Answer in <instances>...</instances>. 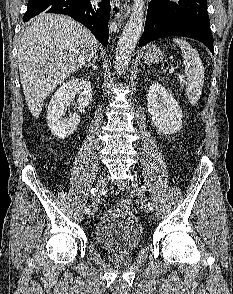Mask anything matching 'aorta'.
I'll use <instances>...</instances> for the list:
<instances>
[{
	"instance_id": "1",
	"label": "aorta",
	"mask_w": 233,
	"mask_h": 294,
	"mask_svg": "<svg viewBox=\"0 0 233 294\" xmlns=\"http://www.w3.org/2000/svg\"><path fill=\"white\" fill-rule=\"evenodd\" d=\"M132 12L118 41L115 69L118 75L125 73L144 27V0H133Z\"/></svg>"
}]
</instances>
